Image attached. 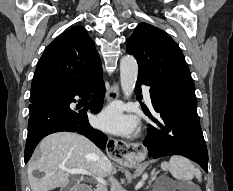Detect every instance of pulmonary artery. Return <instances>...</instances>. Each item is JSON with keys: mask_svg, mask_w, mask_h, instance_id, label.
Here are the masks:
<instances>
[{"mask_svg": "<svg viewBox=\"0 0 233 191\" xmlns=\"http://www.w3.org/2000/svg\"><path fill=\"white\" fill-rule=\"evenodd\" d=\"M143 93H144V97L147 103L151 104L150 92L147 86H143Z\"/></svg>", "mask_w": 233, "mask_h": 191, "instance_id": "1", "label": "pulmonary artery"}]
</instances>
